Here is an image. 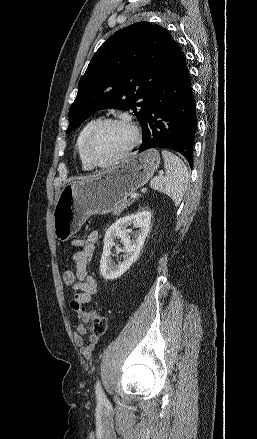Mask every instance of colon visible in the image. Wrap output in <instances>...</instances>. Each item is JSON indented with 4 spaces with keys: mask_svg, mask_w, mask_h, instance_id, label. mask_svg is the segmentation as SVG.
Returning a JSON list of instances; mask_svg holds the SVG:
<instances>
[{
    "mask_svg": "<svg viewBox=\"0 0 257 439\" xmlns=\"http://www.w3.org/2000/svg\"><path fill=\"white\" fill-rule=\"evenodd\" d=\"M63 280L67 286L72 287L76 282V276L74 271L72 270L66 271L63 275ZM88 313H89V321L91 323L92 331L94 332V334L97 336H101L105 334L108 329L107 319L104 316L100 315L95 310H91Z\"/></svg>",
    "mask_w": 257,
    "mask_h": 439,
    "instance_id": "obj_1",
    "label": "colon"
}]
</instances>
